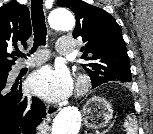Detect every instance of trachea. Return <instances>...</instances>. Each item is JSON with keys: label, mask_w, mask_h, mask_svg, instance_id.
<instances>
[{"label": "trachea", "mask_w": 153, "mask_h": 134, "mask_svg": "<svg viewBox=\"0 0 153 134\" xmlns=\"http://www.w3.org/2000/svg\"><path fill=\"white\" fill-rule=\"evenodd\" d=\"M42 4L43 0H32L31 3V18L34 31V45L32 51H30L31 54L35 52L40 45L46 44L47 28ZM15 55L18 57H26V55L20 51H17Z\"/></svg>", "instance_id": "trachea-1"}]
</instances>
